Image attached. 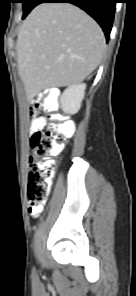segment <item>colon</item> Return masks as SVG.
Masks as SVG:
<instances>
[{
  "mask_svg": "<svg viewBox=\"0 0 136 296\" xmlns=\"http://www.w3.org/2000/svg\"><path fill=\"white\" fill-rule=\"evenodd\" d=\"M30 116L41 122L40 129L31 138L27 187L28 210L31 215H36L48 196L54 168L52 157L63 150L73 134L74 124L64 121L52 97L36 101L30 109Z\"/></svg>",
  "mask_w": 136,
  "mask_h": 296,
  "instance_id": "5ec220e1",
  "label": "colon"
}]
</instances>
